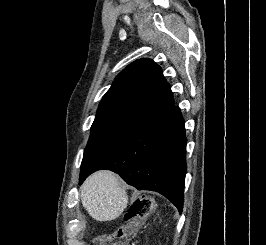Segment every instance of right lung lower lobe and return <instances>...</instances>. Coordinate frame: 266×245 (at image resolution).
<instances>
[{
	"mask_svg": "<svg viewBox=\"0 0 266 245\" xmlns=\"http://www.w3.org/2000/svg\"><path fill=\"white\" fill-rule=\"evenodd\" d=\"M186 143L182 113L173 105L143 120L96 159L80 174L79 184L94 171L109 169L138 190L164 195L182 212Z\"/></svg>",
	"mask_w": 266,
	"mask_h": 245,
	"instance_id": "right-lung-lower-lobe-1",
	"label": "right lung lower lobe"
}]
</instances>
